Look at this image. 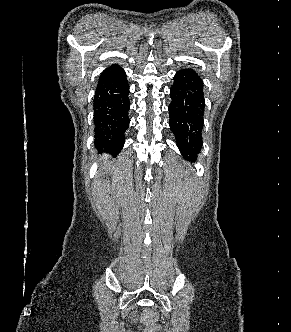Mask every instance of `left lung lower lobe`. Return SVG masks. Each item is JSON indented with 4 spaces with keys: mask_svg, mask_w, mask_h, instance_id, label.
Segmentation results:
<instances>
[{
    "mask_svg": "<svg viewBox=\"0 0 291 332\" xmlns=\"http://www.w3.org/2000/svg\"><path fill=\"white\" fill-rule=\"evenodd\" d=\"M203 85L201 77L194 69L185 68L175 74L170 89L169 125L185 159L195 160L203 144L205 111ZM182 142L190 143L192 150L183 149L180 146Z\"/></svg>",
    "mask_w": 291,
    "mask_h": 332,
    "instance_id": "0a47b994",
    "label": "left lung lower lobe"
}]
</instances>
